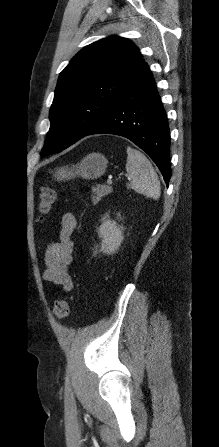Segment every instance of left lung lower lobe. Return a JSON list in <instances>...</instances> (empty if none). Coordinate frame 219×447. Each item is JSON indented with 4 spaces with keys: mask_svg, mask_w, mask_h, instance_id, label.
I'll list each match as a JSON object with an SVG mask.
<instances>
[{
    "mask_svg": "<svg viewBox=\"0 0 219 447\" xmlns=\"http://www.w3.org/2000/svg\"><path fill=\"white\" fill-rule=\"evenodd\" d=\"M92 134H114L131 140L151 157L168 185L171 177L168 120L145 62L130 86L86 135Z\"/></svg>",
    "mask_w": 219,
    "mask_h": 447,
    "instance_id": "0a47b994",
    "label": "left lung lower lobe"
}]
</instances>
